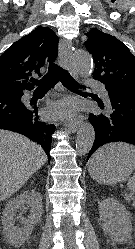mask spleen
Wrapping results in <instances>:
<instances>
[{"label":"spleen","instance_id":"3e777b00","mask_svg":"<svg viewBox=\"0 0 135 249\" xmlns=\"http://www.w3.org/2000/svg\"><path fill=\"white\" fill-rule=\"evenodd\" d=\"M107 154H117L135 161V147L129 144L124 143H114L104 146L100 150H98L90 159L89 164L94 163L97 161L101 156ZM127 188L135 192V173L131 178H129L127 183ZM132 205L135 207V201H133Z\"/></svg>","mask_w":135,"mask_h":249}]
</instances>
